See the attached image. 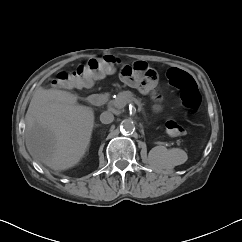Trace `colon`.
Here are the masks:
<instances>
[{"label":"colon","mask_w":242,"mask_h":242,"mask_svg":"<svg viewBox=\"0 0 242 242\" xmlns=\"http://www.w3.org/2000/svg\"><path fill=\"white\" fill-rule=\"evenodd\" d=\"M135 63L124 65L121 69L122 76L129 81L139 82L141 87L153 89L157 82L155 71L146 64L135 66ZM120 64L121 61L112 55L91 59L74 69L60 72L53 83L56 87L67 89L89 88L100 74L114 71ZM168 79L181 91V101L186 109L195 110L199 107L201 95L190 74L178 68H171L168 71ZM166 130L172 136H181L184 133V129L175 121L167 122Z\"/></svg>","instance_id":"1"}]
</instances>
